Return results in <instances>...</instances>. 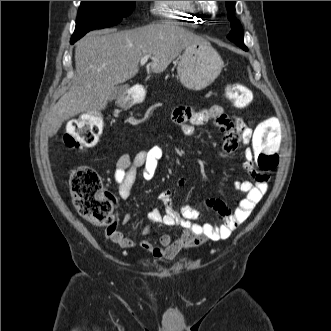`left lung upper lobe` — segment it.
I'll list each match as a JSON object with an SVG mask.
<instances>
[{
  "label": "left lung upper lobe",
  "mask_w": 331,
  "mask_h": 331,
  "mask_svg": "<svg viewBox=\"0 0 331 331\" xmlns=\"http://www.w3.org/2000/svg\"><path fill=\"white\" fill-rule=\"evenodd\" d=\"M226 8L228 10V19L231 21V27H232V30L227 36V38L233 41L236 45H238L242 49L247 48L243 43L244 37H243L242 26L239 23V21L234 18L235 1H226Z\"/></svg>",
  "instance_id": "1"
}]
</instances>
